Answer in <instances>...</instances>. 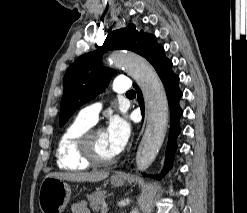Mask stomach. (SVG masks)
Returning <instances> with one entry per match:
<instances>
[{
  "instance_id": "stomach-1",
  "label": "stomach",
  "mask_w": 247,
  "mask_h": 213,
  "mask_svg": "<svg viewBox=\"0 0 247 213\" xmlns=\"http://www.w3.org/2000/svg\"><path fill=\"white\" fill-rule=\"evenodd\" d=\"M123 177H111V184L115 187L122 186ZM71 196L69 184L54 177H45L39 189V207L42 213H62Z\"/></svg>"
}]
</instances>
